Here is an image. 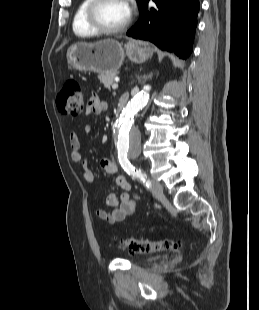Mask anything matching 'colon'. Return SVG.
<instances>
[{"label": "colon", "mask_w": 259, "mask_h": 310, "mask_svg": "<svg viewBox=\"0 0 259 310\" xmlns=\"http://www.w3.org/2000/svg\"><path fill=\"white\" fill-rule=\"evenodd\" d=\"M56 104L59 110L69 115H80L84 110L83 91L78 81L67 80L56 93ZM121 247L128 248L133 254H149L159 251L176 249L179 242L175 240H147L137 238H122Z\"/></svg>", "instance_id": "5ec220e1"}]
</instances>
